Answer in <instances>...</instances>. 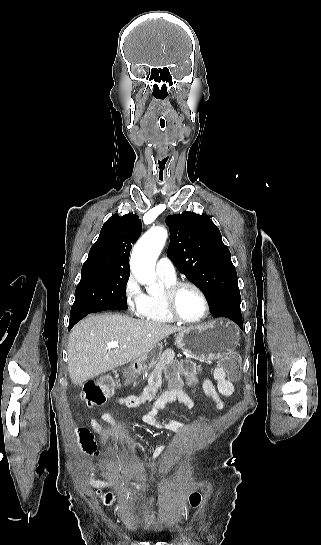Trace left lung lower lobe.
<instances>
[{"label":"left lung lower lobe","mask_w":321,"mask_h":545,"mask_svg":"<svg viewBox=\"0 0 321 545\" xmlns=\"http://www.w3.org/2000/svg\"><path fill=\"white\" fill-rule=\"evenodd\" d=\"M240 301V296L230 297L220 304L211 307V313L213 317H227L243 329Z\"/></svg>","instance_id":"left-lung-lower-lobe-1"}]
</instances>
